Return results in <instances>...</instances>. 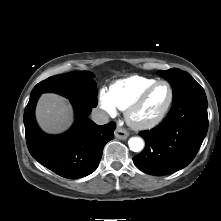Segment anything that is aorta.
Segmentation results:
<instances>
[{
  "label": "aorta",
  "instance_id": "aorta-1",
  "mask_svg": "<svg viewBox=\"0 0 221 221\" xmlns=\"http://www.w3.org/2000/svg\"><path fill=\"white\" fill-rule=\"evenodd\" d=\"M129 148L133 152H140L144 147V142L139 137H132L128 141Z\"/></svg>",
  "mask_w": 221,
  "mask_h": 221
}]
</instances>
